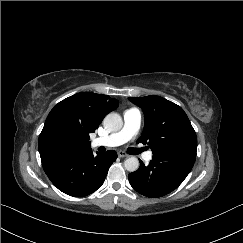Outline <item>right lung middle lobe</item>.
Listing matches in <instances>:
<instances>
[{
    "instance_id": "right-lung-middle-lobe-1",
    "label": "right lung middle lobe",
    "mask_w": 243,
    "mask_h": 243,
    "mask_svg": "<svg viewBox=\"0 0 243 243\" xmlns=\"http://www.w3.org/2000/svg\"><path fill=\"white\" fill-rule=\"evenodd\" d=\"M81 143L79 130L59 115L48 116L39 136L42 162L75 155Z\"/></svg>"
}]
</instances>
